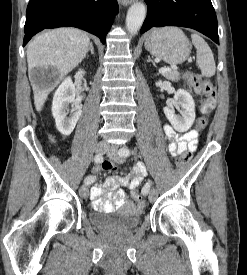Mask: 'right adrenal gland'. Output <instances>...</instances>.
<instances>
[{
	"instance_id": "1",
	"label": "right adrenal gland",
	"mask_w": 247,
	"mask_h": 275,
	"mask_svg": "<svg viewBox=\"0 0 247 275\" xmlns=\"http://www.w3.org/2000/svg\"><path fill=\"white\" fill-rule=\"evenodd\" d=\"M89 51H90V53H91L92 55H95L94 47H93L92 42L90 43Z\"/></svg>"
}]
</instances>
